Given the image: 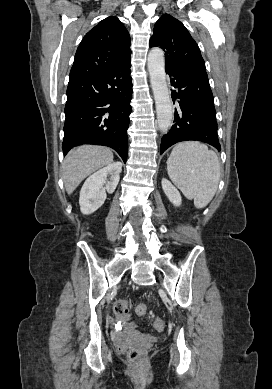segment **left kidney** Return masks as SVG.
I'll return each instance as SVG.
<instances>
[{"mask_svg": "<svg viewBox=\"0 0 272 389\" xmlns=\"http://www.w3.org/2000/svg\"><path fill=\"white\" fill-rule=\"evenodd\" d=\"M161 183H162L163 191L165 195L168 197V199L170 200V202L175 206H180L182 199L177 188L174 185H172V183L169 180L165 178L162 179Z\"/></svg>", "mask_w": 272, "mask_h": 389, "instance_id": "5707ae66", "label": "left kidney"}]
</instances>
